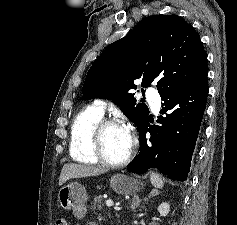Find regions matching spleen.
Wrapping results in <instances>:
<instances>
[{
    "label": "spleen",
    "instance_id": "obj_1",
    "mask_svg": "<svg viewBox=\"0 0 237 225\" xmlns=\"http://www.w3.org/2000/svg\"><path fill=\"white\" fill-rule=\"evenodd\" d=\"M150 180L151 183L157 187V188H162L163 187V181L162 179L159 177L158 174L152 173L150 176Z\"/></svg>",
    "mask_w": 237,
    "mask_h": 225
}]
</instances>
